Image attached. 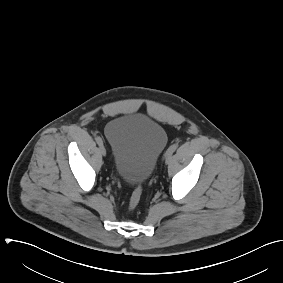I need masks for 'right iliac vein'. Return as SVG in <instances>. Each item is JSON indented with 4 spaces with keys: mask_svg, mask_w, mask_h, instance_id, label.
<instances>
[{
    "mask_svg": "<svg viewBox=\"0 0 283 283\" xmlns=\"http://www.w3.org/2000/svg\"><path fill=\"white\" fill-rule=\"evenodd\" d=\"M100 153L103 155V156H106V149L103 145L100 146Z\"/></svg>",
    "mask_w": 283,
    "mask_h": 283,
    "instance_id": "obj_1",
    "label": "right iliac vein"
}]
</instances>
